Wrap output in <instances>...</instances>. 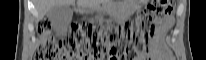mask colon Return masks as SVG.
<instances>
[{"label": "colon", "mask_w": 206, "mask_h": 60, "mask_svg": "<svg viewBox=\"0 0 206 60\" xmlns=\"http://www.w3.org/2000/svg\"><path fill=\"white\" fill-rule=\"evenodd\" d=\"M175 1L149 2L135 22H124L107 29L91 24H72L69 34L59 39L48 20L37 25L38 60H96L107 55L108 60H137L146 52V43L155 25L168 19Z\"/></svg>", "instance_id": "1"}]
</instances>
